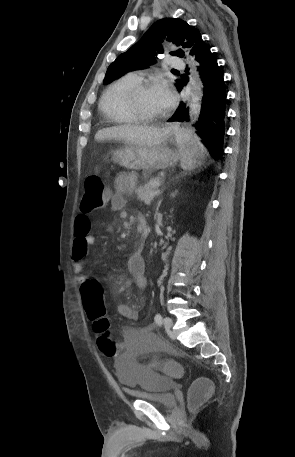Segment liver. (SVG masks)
<instances>
[{
  "label": "liver",
  "mask_w": 295,
  "mask_h": 457,
  "mask_svg": "<svg viewBox=\"0 0 295 457\" xmlns=\"http://www.w3.org/2000/svg\"><path fill=\"white\" fill-rule=\"evenodd\" d=\"M167 128L120 125L99 130L95 135V140H117L125 144L137 146H153L163 141Z\"/></svg>",
  "instance_id": "1"
}]
</instances>
